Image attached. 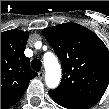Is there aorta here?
<instances>
[{"instance_id": "aorta-1", "label": "aorta", "mask_w": 109, "mask_h": 109, "mask_svg": "<svg viewBox=\"0 0 109 109\" xmlns=\"http://www.w3.org/2000/svg\"><path fill=\"white\" fill-rule=\"evenodd\" d=\"M45 83L48 88L55 89L61 80V66L52 53L44 57Z\"/></svg>"}]
</instances>
